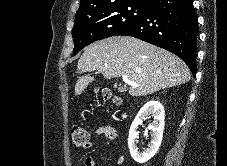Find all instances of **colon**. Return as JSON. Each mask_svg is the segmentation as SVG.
<instances>
[{
	"instance_id": "colon-1",
	"label": "colon",
	"mask_w": 227,
	"mask_h": 166,
	"mask_svg": "<svg viewBox=\"0 0 227 166\" xmlns=\"http://www.w3.org/2000/svg\"><path fill=\"white\" fill-rule=\"evenodd\" d=\"M110 96L109 92H105ZM118 101V99H116ZM71 141L75 146H89L91 144V135L87 129L80 125H74L70 130Z\"/></svg>"
}]
</instances>
